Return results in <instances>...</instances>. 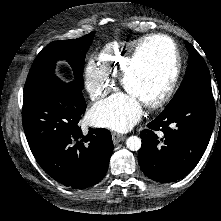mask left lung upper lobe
<instances>
[{
	"label": "left lung upper lobe",
	"instance_id": "left-lung-upper-lobe-1",
	"mask_svg": "<svg viewBox=\"0 0 221 221\" xmlns=\"http://www.w3.org/2000/svg\"><path fill=\"white\" fill-rule=\"evenodd\" d=\"M186 46L189 52L186 73L179 89L165 109L172 108L194 93L212 95L210 74L204 59L191 44L186 42Z\"/></svg>",
	"mask_w": 221,
	"mask_h": 221
}]
</instances>
